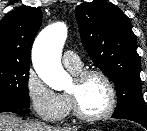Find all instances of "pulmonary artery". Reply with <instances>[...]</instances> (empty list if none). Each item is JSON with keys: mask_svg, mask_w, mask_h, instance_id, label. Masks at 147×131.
<instances>
[{"mask_svg": "<svg viewBox=\"0 0 147 131\" xmlns=\"http://www.w3.org/2000/svg\"><path fill=\"white\" fill-rule=\"evenodd\" d=\"M62 61L65 67L72 71H78L82 67L79 56L70 50L64 52Z\"/></svg>", "mask_w": 147, "mask_h": 131, "instance_id": "1", "label": "pulmonary artery"}]
</instances>
